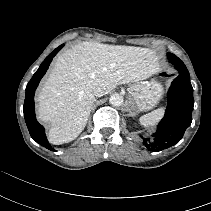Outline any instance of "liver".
Segmentation results:
<instances>
[{
  "instance_id": "6515ba94",
  "label": "liver",
  "mask_w": 211,
  "mask_h": 211,
  "mask_svg": "<svg viewBox=\"0 0 211 211\" xmlns=\"http://www.w3.org/2000/svg\"><path fill=\"white\" fill-rule=\"evenodd\" d=\"M158 70L157 56L148 48L82 42L66 50L37 95L38 119L50 125L49 141L59 145L78 137L97 87L106 95L117 85L147 79Z\"/></svg>"
}]
</instances>
